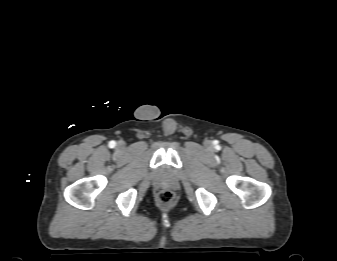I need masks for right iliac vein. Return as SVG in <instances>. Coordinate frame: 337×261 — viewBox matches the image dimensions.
Returning a JSON list of instances; mask_svg holds the SVG:
<instances>
[{"label": "right iliac vein", "mask_w": 337, "mask_h": 261, "mask_svg": "<svg viewBox=\"0 0 337 261\" xmlns=\"http://www.w3.org/2000/svg\"><path fill=\"white\" fill-rule=\"evenodd\" d=\"M118 147H119V148H123V147H124V142H119V143H118Z\"/></svg>", "instance_id": "1"}]
</instances>
